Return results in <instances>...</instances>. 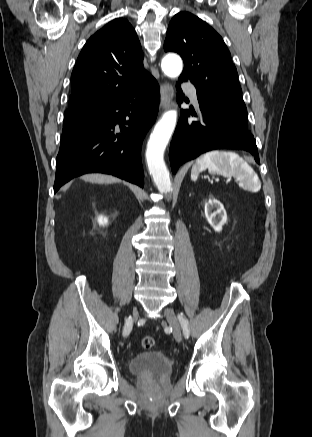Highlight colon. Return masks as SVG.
Instances as JSON below:
<instances>
[{"mask_svg": "<svg viewBox=\"0 0 312 437\" xmlns=\"http://www.w3.org/2000/svg\"><path fill=\"white\" fill-rule=\"evenodd\" d=\"M154 339L151 336H145L141 339V345L144 349H151L154 346Z\"/></svg>", "mask_w": 312, "mask_h": 437, "instance_id": "5ec220e1", "label": "colon"}]
</instances>
